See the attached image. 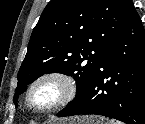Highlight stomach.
<instances>
[{"instance_id": "stomach-1", "label": "stomach", "mask_w": 145, "mask_h": 124, "mask_svg": "<svg viewBox=\"0 0 145 124\" xmlns=\"http://www.w3.org/2000/svg\"><path fill=\"white\" fill-rule=\"evenodd\" d=\"M55 124H108V123H106L104 119L101 117L85 116V117H72L68 119H62L57 121V123Z\"/></svg>"}]
</instances>
